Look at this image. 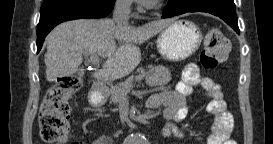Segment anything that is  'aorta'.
Returning <instances> with one entry per match:
<instances>
[{
  "mask_svg": "<svg viewBox=\"0 0 273 144\" xmlns=\"http://www.w3.org/2000/svg\"><path fill=\"white\" fill-rule=\"evenodd\" d=\"M129 144H144V138L139 134H133L129 138Z\"/></svg>",
  "mask_w": 273,
  "mask_h": 144,
  "instance_id": "obj_1",
  "label": "aorta"
}]
</instances>
